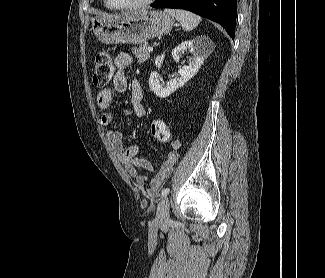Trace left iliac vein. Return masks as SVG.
I'll list each match as a JSON object with an SVG mask.
<instances>
[{"label": "left iliac vein", "mask_w": 325, "mask_h": 278, "mask_svg": "<svg viewBox=\"0 0 325 278\" xmlns=\"http://www.w3.org/2000/svg\"><path fill=\"white\" fill-rule=\"evenodd\" d=\"M155 220L158 225H164V224L168 223V221H169V199L167 196H164L158 203Z\"/></svg>", "instance_id": "obj_1"}]
</instances>
